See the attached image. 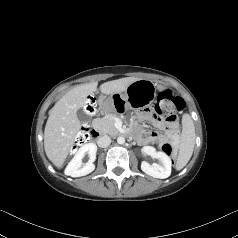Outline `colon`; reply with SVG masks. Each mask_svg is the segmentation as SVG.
Listing matches in <instances>:
<instances>
[{"label": "colon", "instance_id": "5ec220e1", "mask_svg": "<svg viewBox=\"0 0 238 238\" xmlns=\"http://www.w3.org/2000/svg\"><path fill=\"white\" fill-rule=\"evenodd\" d=\"M185 107L184 100L175 95L171 90L165 89L159 92L157 96L156 104L153 110L159 112V114L165 118V120L169 124H176L177 121V114L183 110ZM87 111L92 113L94 111L93 104L90 103L87 107ZM90 136V130L88 127L82 129V131L78 134L76 139L77 146H81L88 140ZM162 151L171 156L174 153L175 147L170 142H165L161 146Z\"/></svg>", "mask_w": 238, "mask_h": 238}]
</instances>
